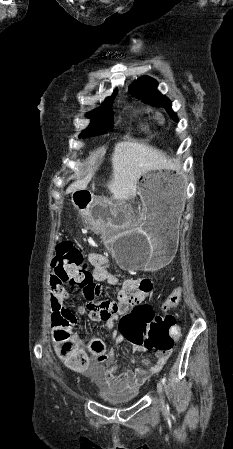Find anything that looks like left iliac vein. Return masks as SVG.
<instances>
[{"mask_svg": "<svg viewBox=\"0 0 233 449\" xmlns=\"http://www.w3.org/2000/svg\"><path fill=\"white\" fill-rule=\"evenodd\" d=\"M157 392H158V395H159L160 406L163 408L164 407V401H163V397H162V383L161 382L157 383Z\"/></svg>", "mask_w": 233, "mask_h": 449, "instance_id": "left-iliac-vein-1", "label": "left iliac vein"}]
</instances>
